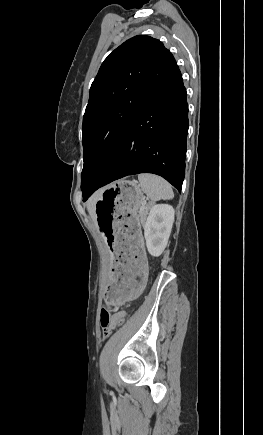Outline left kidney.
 I'll return each mask as SVG.
<instances>
[{
	"label": "left kidney",
	"instance_id": "5707ae66",
	"mask_svg": "<svg viewBox=\"0 0 263 435\" xmlns=\"http://www.w3.org/2000/svg\"><path fill=\"white\" fill-rule=\"evenodd\" d=\"M174 209L168 204H155L151 207L144 225V236L148 252L160 256L167 246L174 222Z\"/></svg>",
	"mask_w": 263,
	"mask_h": 435
}]
</instances>
